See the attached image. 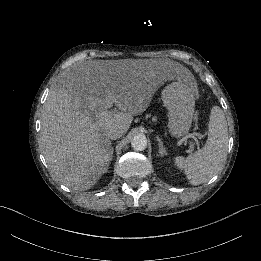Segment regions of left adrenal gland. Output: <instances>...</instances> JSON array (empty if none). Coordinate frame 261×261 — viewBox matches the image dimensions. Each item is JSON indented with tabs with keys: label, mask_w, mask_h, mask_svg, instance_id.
Wrapping results in <instances>:
<instances>
[{
	"label": "left adrenal gland",
	"mask_w": 261,
	"mask_h": 261,
	"mask_svg": "<svg viewBox=\"0 0 261 261\" xmlns=\"http://www.w3.org/2000/svg\"><path fill=\"white\" fill-rule=\"evenodd\" d=\"M157 143L159 145V154L161 155V157L166 156L167 153L163 150V142L161 141L160 138H157Z\"/></svg>",
	"instance_id": "1"
}]
</instances>
